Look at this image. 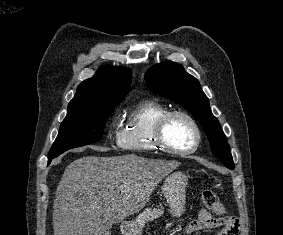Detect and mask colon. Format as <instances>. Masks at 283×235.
I'll list each match as a JSON object with an SVG mask.
<instances>
[{"label": "colon", "instance_id": "colon-1", "mask_svg": "<svg viewBox=\"0 0 283 235\" xmlns=\"http://www.w3.org/2000/svg\"><path fill=\"white\" fill-rule=\"evenodd\" d=\"M202 200L205 206L216 214H225V208L214 191L210 189L204 190L202 192Z\"/></svg>", "mask_w": 283, "mask_h": 235}]
</instances>
